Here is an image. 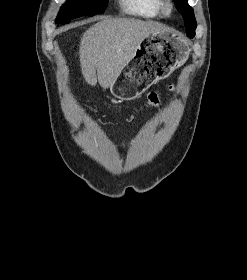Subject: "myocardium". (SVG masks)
Wrapping results in <instances>:
<instances>
[{
	"instance_id": "1",
	"label": "myocardium",
	"mask_w": 247,
	"mask_h": 280,
	"mask_svg": "<svg viewBox=\"0 0 247 280\" xmlns=\"http://www.w3.org/2000/svg\"><path fill=\"white\" fill-rule=\"evenodd\" d=\"M159 11L163 16H170L174 11V3L172 0H158Z\"/></svg>"
}]
</instances>
